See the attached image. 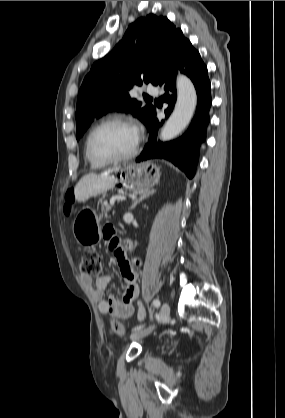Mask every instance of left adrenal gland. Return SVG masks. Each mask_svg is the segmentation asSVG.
<instances>
[{
	"label": "left adrenal gland",
	"mask_w": 285,
	"mask_h": 418,
	"mask_svg": "<svg viewBox=\"0 0 285 418\" xmlns=\"http://www.w3.org/2000/svg\"><path fill=\"white\" fill-rule=\"evenodd\" d=\"M154 193H155V190L152 189V190H147L144 193L140 194V196L138 198H136V199L133 200V203H132L130 209H134L138 203H140L143 200L147 199L148 197H150Z\"/></svg>",
	"instance_id": "left-adrenal-gland-1"
}]
</instances>
